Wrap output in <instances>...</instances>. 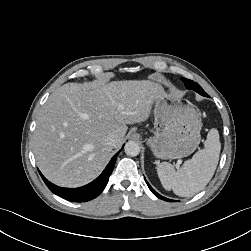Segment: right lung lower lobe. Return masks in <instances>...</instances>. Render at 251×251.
Wrapping results in <instances>:
<instances>
[{
  "instance_id": "right-lung-lower-lobe-1",
  "label": "right lung lower lobe",
  "mask_w": 251,
  "mask_h": 251,
  "mask_svg": "<svg viewBox=\"0 0 251 251\" xmlns=\"http://www.w3.org/2000/svg\"><path fill=\"white\" fill-rule=\"evenodd\" d=\"M117 154L113 156L109 164L106 166L105 170L101 173V175L96 178L93 182L80 187V188H62L54 185L53 183L49 182L42 174L40 175L47 185V187L56 195L60 196L63 199H66L68 201L72 202H86L91 199L96 198L105 188L109 176L111 175L115 162Z\"/></svg>"
}]
</instances>
